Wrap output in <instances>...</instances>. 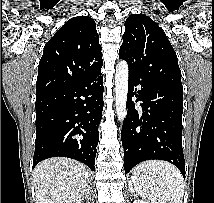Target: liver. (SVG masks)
<instances>
[{
  "instance_id": "liver-1",
  "label": "liver",
  "mask_w": 214,
  "mask_h": 203,
  "mask_svg": "<svg viewBox=\"0 0 214 203\" xmlns=\"http://www.w3.org/2000/svg\"><path fill=\"white\" fill-rule=\"evenodd\" d=\"M36 203H82L89 194L85 165L64 157L42 161L33 171Z\"/></svg>"
}]
</instances>
